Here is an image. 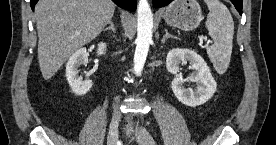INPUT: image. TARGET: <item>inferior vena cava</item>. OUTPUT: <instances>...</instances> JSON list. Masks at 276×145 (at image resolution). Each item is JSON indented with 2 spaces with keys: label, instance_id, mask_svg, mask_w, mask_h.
Instances as JSON below:
<instances>
[{
  "label": "inferior vena cava",
  "instance_id": "inferior-vena-cava-1",
  "mask_svg": "<svg viewBox=\"0 0 276 145\" xmlns=\"http://www.w3.org/2000/svg\"><path fill=\"white\" fill-rule=\"evenodd\" d=\"M115 101H116V103H118V98H116ZM114 114L118 115L117 105L114 106Z\"/></svg>",
  "mask_w": 276,
  "mask_h": 145
}]
</instances>
